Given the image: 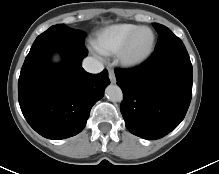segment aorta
Listing matches in <instances>:
<instances>
[{"label":"aorta","instance_id":"762f6f07","mask_svg":"<svg viewBox=\"0 0 219 174\" xmlns=\"http://www.w3.org/2000/svg\"><path fill=\"white\" fill-rule=\"evenodd\" d=\"M105 95L111 102H121L123 100V92L117 85H108L105 89Z\"/></svg>","mask_w":219,"mask_h":174}]
</instances>
